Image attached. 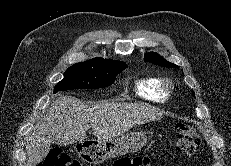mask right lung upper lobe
Instances as JSON below:
<instances>
[{
    "mask_svg": "<svg viewBox=\"0 0 231 166\" xmlns=\"http://www.w3.org/2000/svg\"><path fill=\"white\" fill-rule=\"evenodd\" d=\"M93 60H99V61H103V58H94Z\"/></svg>",
    "mask_w": 231,
    "mask_h": 166,
    "instance_id": "cb5924a9",
    "label": "right lung upper lobe"
}]
</instances>
